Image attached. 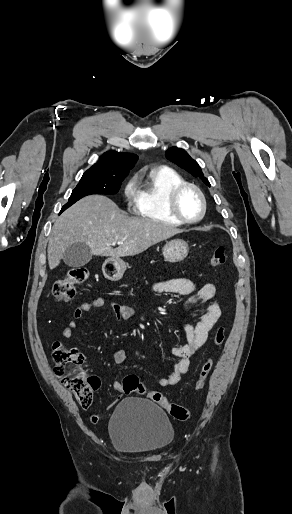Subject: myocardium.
Segmentation results:
<instances>
[{
	"instance_id": "myocardium-1",
	"label": "myocardium",
	"mask_w": 292,
	"mask_h": 514,
	"mask_svg": "<svg viewBox=\"0 0 292 514\" xmlns=\"http://www.w3.org/2000/svg\"><path fill=\"white\" fill-rule=\"evenodd\" d=\"M185 189L193 190L197 194L200 201V213L197 218L192 220L183 217L178 211L177 207L178 196ZM165 206L168 214L180 224L198 223L203 219L206 213V201L202 190L197 185L188 182H181L168 190L165 196Z\"/></svg>"
}]
</instances>
